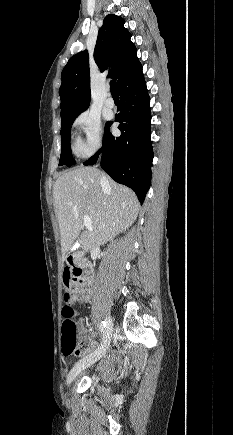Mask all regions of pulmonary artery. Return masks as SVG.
I'll return each instance as SVG.
<instances>
[{
	"label": "pulmonary artery",
	"mask_w": 233,
	"mask_h": 435,
	"mask_svg": "<svg viewBox=\"0 0 233 435\" xmlns=\"http://www.w3.org/2000/svg\"><path fill=\"white\" fill-rule=\"evenodd\" d=\"M105 104L107 107L109 108H113L115 106V101L114 99L109 95L106 100H105Z\"/></svg>",
	"instance_id": "pulmonary-artery-1"
}]
</instances>
